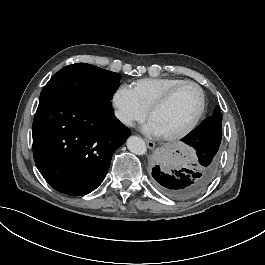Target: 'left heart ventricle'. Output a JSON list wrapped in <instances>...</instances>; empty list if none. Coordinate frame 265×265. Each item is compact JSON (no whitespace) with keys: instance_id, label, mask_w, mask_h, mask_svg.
Segmentation results:
<instances>
[{"instance_id":"1","label":"left heart ventricle","mask_w":265,"mask_h":265,"mask_svg":"<svg viewBox=\"0 0 265 265\" xmlns=\"http://www.w3.org/2000/svg\"><path fill=\"white\" fill-rule=\"evenodd\" d=\"M199 106L198 90L191 85L184 86L149 120L155 123L161 136L169 135L186 127L197 114Z\"/></svg>"}]
</instances>
